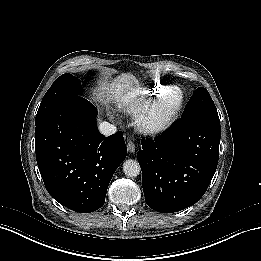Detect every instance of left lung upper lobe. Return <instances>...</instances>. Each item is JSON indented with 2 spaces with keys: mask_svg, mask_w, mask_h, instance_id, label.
<instances>
[{
  "mask_svg": "<svg viewBox=\"0 0 261 261\" xmlns=\"http://www.w3.org/2000/svg\"><path fill=\"white\" fill-rule=\"evenodd\" d=\"M197 114L218 116L216 107L209 92L203 87L197 88L193 93L186 105L182 118Z\"/></svg>",
  "mask_w": 261,
  "mask_h": 261,
  "instance_id": "5c2ea615",
  "label": "left lung upper lobe"
}]
</instances>
